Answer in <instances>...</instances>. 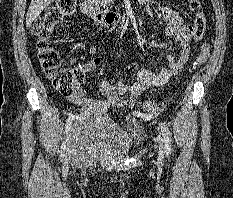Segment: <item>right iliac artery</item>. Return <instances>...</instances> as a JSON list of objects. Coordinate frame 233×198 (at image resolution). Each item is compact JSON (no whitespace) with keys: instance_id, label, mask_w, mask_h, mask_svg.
<instances>
[{"instance_id":"right-iliac-artery-1","label":"right iliac artery","mask_w":233,"mask_h":198,"mask_svg":"<svg viewBox=\"0 0 233 198\" xmlns=\"http://www.w3.org/2000/svg\"><path fill=\"white\" fill-rule=\"evenodd\" d=\"M72 120H73V115H70L66 121V130H65L66 133H68V131H69V128L72 124ZM65 151H66V141L62 144L61 149H60V156L61 157L65 156Z\"/></svg>"}]
</instances>
